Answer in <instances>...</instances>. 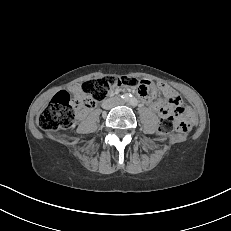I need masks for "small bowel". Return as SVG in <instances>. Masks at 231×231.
I'll return each instance as SVG.
<instances>
[{
	"label": "small bowel",
	"instance_id": "c3829d8e",
	"mask_svg": "<svg viewBox=\"0 0 231 231\" xmlns=\"http://www.w3.org/2000/svg\"><path fill=\"white\" fill-rule=\"evenodd\" d=\"M152 90H153V94L156 93L157 91H160L166 97V99L170 100L171 102L170 105L176 104L180 100L177 93L168 85L161 84L158 85L157 87L153 86ZM71 91L75 98L77 99L83 98V93L80 85L72 86ZM146 103L149 106V108L158 112L161 116L169 113V107L160 101L152 100L149 97H146Z\"/></svg>",
	"mask_w": 231,
	"mask_h": 231
}]
</instances>
